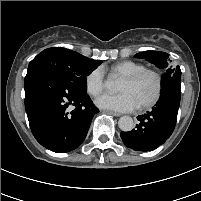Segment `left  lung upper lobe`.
I'll use <instances>...</instances> for the list:
<instances>
[{
	"instance_id": "obj_1",
	"label": "left lung upper lobe",
	"mask_w": 201,
	"mask_h": 201,
	"mask_svg": "<svg viewBox=\"0 0 201 201\" xmlns=\"http://www.w3.org/2000/svg\"><path fill=\"white\" fill-rule=\"evenodd\" d=\"M136 58H144L147 61L155 64L157 67L164 69V74L161 80V87L163 89L169 87L172 83L181 84V70L177 66L172 67L170 60L168 59L169 54L160 51H145L135 55Z\"/></svg>"
}]
</instances>
